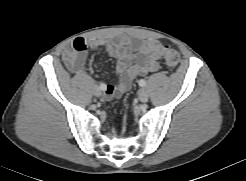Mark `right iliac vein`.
Segmentation results:
<instances>
[{"mask_svg": "<svg viewBox=\"0 0 246 181\" xmlns=\"http://www.w3.org/2000/svg\"><path fill=\"white\" fill-rule=\"evenodd\" d=\"M101 94L102 93H101V89L100 88L97 87V88L94 89V95L95 96L99 97V96H101Z\"/></svg>", "mask_w": 246, "mask_h": 181, "instance_id": "63e3f726", "label": "right iliac vein"}]
</instances>
